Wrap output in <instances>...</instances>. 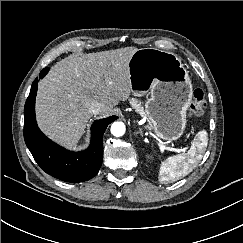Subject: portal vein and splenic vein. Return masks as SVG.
<instances>
[{
	"mask_svg": "<svg viewBox=\"0 0 243 243\" xmlns=\"http://www.w3.org/2000/svg\"><path fill=\"white\" fill-rule=\"evenodd\" d=\"M158 145H159V148L161 149V150H170V151H175V152H178V153H180V152H185V148H181V149H177V148H170V147H166V146H164L163 144H161V143H158Z\"/></svg>",
	"mask_w": 243,
	"mask_h": 243,
	"instance_id": "obj_1",
	"label": "portal vein and splenic vein"
}]
</instances>
